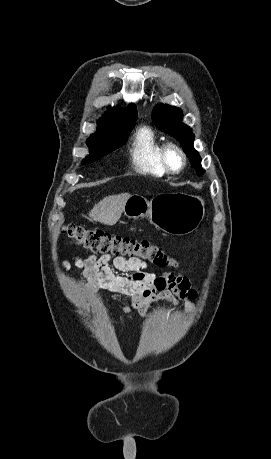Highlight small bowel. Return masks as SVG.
Masks as SVG:
<instances>
[{
  "label": "small bowel",
  "mask_w": 271,
  "mask_h": 459,
  "mask_svg": "<svg viewBox=\"0 0 271 459\" xmlns=\"http://www.w3.org/2000/svg\"><path fill=\"white\" fill-rule=\"evenodd\" d=\"M111 261L120 274L113 271ZM74 265L82 270L87 279V291L100 287L130 296L131 304L123 308L128 318H131L133 311L144 315L147 307L155 301H165L172 306L178 305L181 301L189 311L192 309V301L196 298V291L187 277L171 273L161 276L145 273L143 270L147 264L139 258H112L109 254L101 257L90 255L76 257ZM69 266L65 263V267Z\"/></svg>",
  "instance_id": "small-bowel-1"
}]
</instances>
